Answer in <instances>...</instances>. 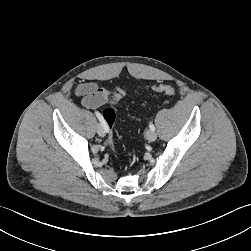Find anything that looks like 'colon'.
<instances>
[{"label":"colon","mask_w":251,"mask_h":251,"mask_svg":"<svg viewBox=\"0 0 251 251\" xmlns=\"http://www.w3.org/2000/svg\"><path fill=\"white\" fill-rule=\"evenodd\" d=\"M154 91L165 94V95H174L175 94V89L174 87L170 85H159L153 88ZM126 93L124 91H120L114 94L113 96V101L117 102L120 100L123 96H125ZM103 117L109 126L110 129L113 128L115 119H116V113L115 110L112 107H107L103 111ZM109 143L113 146V135L112 132L110 133L109 136Z\"/></svg>","instance_id":"colon-1"}]
</instances>
